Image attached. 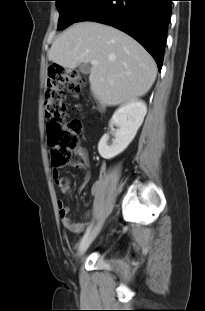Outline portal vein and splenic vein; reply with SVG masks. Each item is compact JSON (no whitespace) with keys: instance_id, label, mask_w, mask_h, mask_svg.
I'll return each mask as SVG.
<instances>
[{"instance_id":"18ae733b","label":"portal vein and splenic vein","mask_w":205,"mask_h":311,"mask_svg":"<svg viewBox=\"0 0 205 311\" xmlns=\"http://www.w3.org/2000/svg\"><path fill=\"white\" fill-rule=\"evenodd\" d=\"M91 64H92V65H97V64H98V61H97V60H93V61L91 62Z\"/></svg>"}]
</instances>
